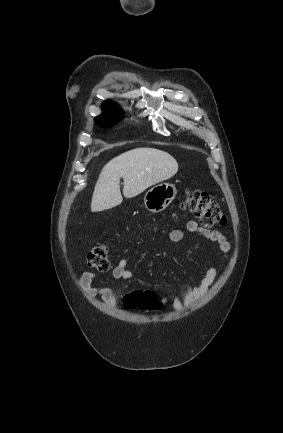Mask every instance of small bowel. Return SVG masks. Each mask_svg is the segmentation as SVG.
<instances>
[{
    "instance_id": "1",
    "label": "small bowel",
    "mask_w": 283,
    "mask_h": 433,
    "mask_svg": "<svg viewBox=\"0 0 283 433\" xmlns=\"http://www.w3.org/2000/svg\"><path fill=\"white\" fill-rule=\"evenodd\" d=\"M188 233H197L205 239L214 242L218 245L223 256L226 257L230 249V243L226 236L218 230H210L200 226L196 221L190 220L186 223L183 229H174L169 233V239L172 242L182 241ZM128 262L126 259H121L112 271V276L115 279L129 280L133 277V273L127 268ZM220 269L210 267L205 272L203 278L190 287L185 292L182 298L175 297L172 300V307L176 311H183L187 306L194 303L198 298L203 296L213 285L219 275ZM95 273L87 271L80 277V284L84 291L91 297H100L101 300L110 306H115L117 303V294L107 286H95L93 284ZM162 304L167 303V299H161Z\"/></svg>"
}]
</instances>
